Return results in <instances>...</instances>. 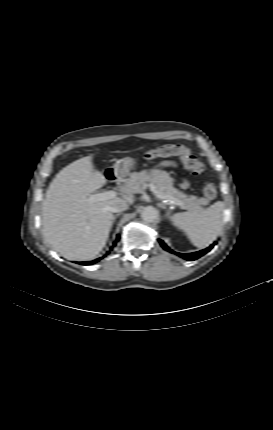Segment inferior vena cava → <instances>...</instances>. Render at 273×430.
I'll return each mask as SVG.
<instances>
[{
  "label": "inferior vena cava",
  "mask_w": 273,
  "mask_h": 430,
  "mask_svg": "<svg viewBox=\"0 0 273 430\" xmlns=\"http://www.w3.org/2000/svg\"><path fill=\"white\" fill-rule=\"evenodd\" d=\"M129 205L125 201H116L112 206L109 207L110 212L119 213L127 210Z\"/></svg>",
  "instance_id": "inferior-vena-cava-1"
}]
</instances>
